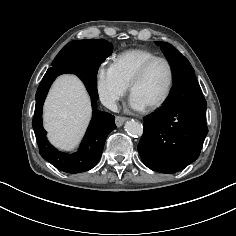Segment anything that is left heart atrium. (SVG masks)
I'll use <instances>...</instances> for the list:
<instances>
[{"instance_id": "left-heart-atrium-1", "label": "left heart atrium", "mask_w": 236, "mask_h": 236, "mask_svg": "<svg viewBox=\"0 0 236 236\" xmlns=\"http://www.w3.org/2000/svg\"><path fill=\"white\" fill-rule=\"evenodd\" d=\"M130 106L135 110H142L145 108V105L134 95L130 98Z\"/></svg>"}]
</instances>
